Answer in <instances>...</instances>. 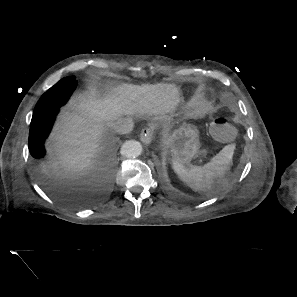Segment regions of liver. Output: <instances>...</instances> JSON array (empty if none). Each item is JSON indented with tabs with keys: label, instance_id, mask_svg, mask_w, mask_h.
Returning a JSON list of instances; mask_svg holds the SVG:
<instances>
[{
	"label": "liver",
	"instance_id": "obj_1",
	"mask_svg": "<svg viewBox=\"0 0 297 297\" xmlns=\"http://www.w3.org/2000/svg\"><path fill=\"white\" fill-rule=\"evenodd\" d=\"M180 101L173 84H120L108 93L80 95L62 112L48 145L54 155L51 167L67 192H83L91 184L87 172L94 166L102 147L106 127L122 115L133 113L165 114Z\"/></svg>",
	"mask_w": 297,
	"mask_h": 297
}]
</instances>
